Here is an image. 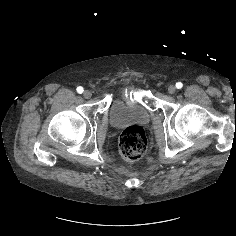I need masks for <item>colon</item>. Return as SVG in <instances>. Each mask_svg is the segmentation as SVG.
<instances>
[{"label": "colon", "mask_w": 236, "mask_h": 236, "mask_svg": "<svg viewBox=\"0 0 236 236\" xmlns=\"http://www.w3.org/2000/svg\"><path fill=\"white\" fill-rule=\"evenodd\" d=\"M119 149L127 161H137L143 157L147 149V139L144 130L137 125L123 130L119 139Z\"/></svg>", "instance_id": "colon-1"}]
</instances>
